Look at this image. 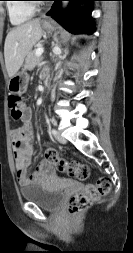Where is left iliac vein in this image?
Instances as JSON below:
<instances>
[{
    "label": "left iliac vein",
    "mask_w": 133,
    "mask_h": 253,
    "mask_svg": "<svg viewBox=\"0 0 133 253\" xmlns=\"http://www.w3.org/2000/svg\"><path fill=\"white\" fill-rule=\"evenodd\" d=\"M55 138L59 143L65 144L67 142L60 132H57Z\"/></svg>",
    "instance_id": "4c4485c4"
}]
</instances>
